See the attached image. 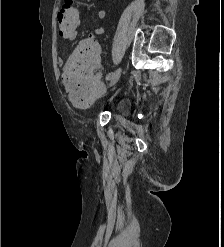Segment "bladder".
Instances as JSON below:
<instances>
[{
	"label": "bladder",
	"mask_w": 224,
	"mask_h": 247,
	"mask_svg": "<svg viewBox=\"0 0 224 247\" xmlns=\"http://www.w3.org/2000/svg\"><path fill=\"white\" fill-rule=\"evenodd\" d=\"M130 109H131L130 101L125 97L115 100L111 106V110L113 113L123 117L129 116Z\"/></svg>",
	"instance_id": "1"
}]
</instances>
